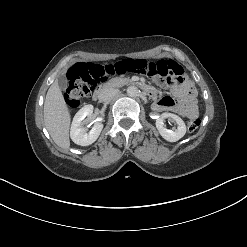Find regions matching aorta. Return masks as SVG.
<instances>
[{"mask_svg":"<svg viewBox=\"0 0 247 247\" xmlns=\"http://www.w3.org/2000/svg\"><path fill=\"white\" fill-rule=\"evenodd\" d=\"M127 95L130 97H137L139 95V89L136 86H129L127 88Z\"/></svg>","mask_w":247,"mask_h":247,"instance_id":"aorta-1","label":"aorta"}]
</instances>
